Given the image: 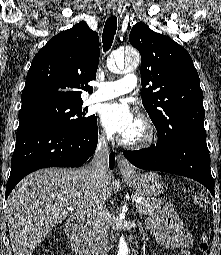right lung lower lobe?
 Returning <instances> with one entry per match:
<instances>
[{"label":"right lung lower lobe","mask_w":221,"mask_h":255,"mask_svg":"<svg viewBox=\"0 0 221 255\" xmlns=\"http://www.w3.org/2000/svg\"><path fill=\"white\" fill-rule=\"evenodd\" d=\"M98 141L97 120L85 130L73 131L36 120L20 121L6 198L29 173L46 167H79L92 157ZM115 153L109 156L113 169Z\"/></svg>","instance_id":"1"}]
</instances>
